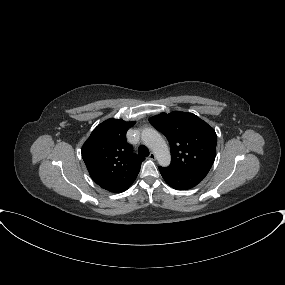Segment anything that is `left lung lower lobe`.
Listing matches in <instances>:
<instances>
[{"instance_id": "obj_1", "label": "left lung lower lobe", "mask_w": 285, "mask_h": 285, "mask_svg": "<svg viewBox=\"0 0 285 285\" xmlns=\"http://www.w3.org/2000/svg\"><path fill=\"white\" fill-rule=\"evenodd\" d=\"M159 171L168 185L177 190H187L199 184L206 173H181L168 167H159Z\"/></svg>"}]
</instances>
